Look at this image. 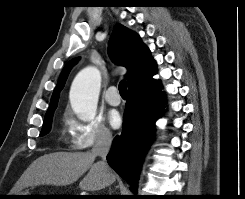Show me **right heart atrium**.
<instances>
[{
    "instance_id": "d8ad5b80",
    "label": "right heart atrium",
    "mask_w": 245,
    "mask_h": 199,
    "mask_svg": "<svg viewBox=\"0 0 245 199\" xmlns=\"http://www.w3.org/2000/svg\"><path fill=\"white\" fill-rule=\"evenodd\" d=\"M67 127L69 142L74 150H86L112 141L111 131L98 117L87 122L70 117L67 120Z\"/></svg>"
}]
</instances>
